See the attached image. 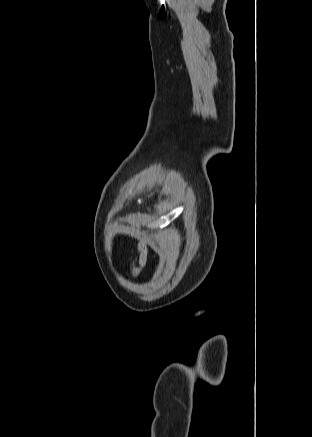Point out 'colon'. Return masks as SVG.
I'll return each instance as SVG.
<instances>
[{"label": "colon", "instance_id": "1", "mask_svg": "<svg viewBox=\"0 0 312 437\" xmlns=\"http://www.w3.org/2000/svg\"><path fill=\"white\" fill-rule=\"evenodd\" d=\"M146 261H147V247L144 243L138 242L137 254L131 265V274L133 276L138 275L141 269L143 268V266L146 264Z\"/></svg>", "mask_w": 312, "mask_h": 437}]
</instances>
